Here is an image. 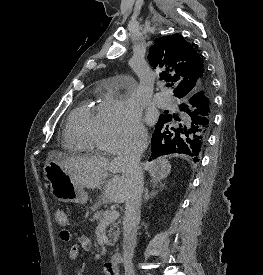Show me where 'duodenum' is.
I'll return each mask as SVG.
<instances>
[{
  "label": "duodenum",
  "mask_w": 263,
  "mask_h": 275,
  "mask_svg": "<svg viewBox=\"0 0 263 275\" xmlns=\"http://www.w3.org/2000/svg\"><path fill=\"white\" fill-rule=\"evenodd\" d=\"M123 261V255L121 253H114L111 259L105 263V267L110 271L117 270L118 265Z\"/></svg>",
  "instance_id": "obj_1"
}]
</instances>
